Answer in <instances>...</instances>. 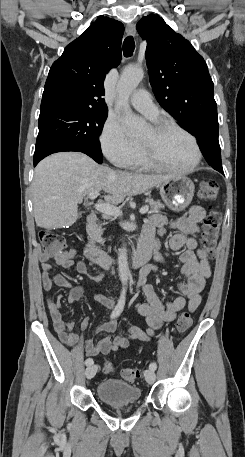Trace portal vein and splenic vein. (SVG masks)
<instances>
[{
  "label": "portal vein and splenic vein",
  "mask_w": 245,
  "mask_h": 457,
  "mask_svg": "<svg viewBox=\"0 0 245 457\" xmlns=\"http://www.w3.org/2000/svg\"><path fill=\"white\" fill-rule=\"evenodd\" d=\"M98 194V190H93V192H89V198L94 200ZM95 208L96 210H99V212H104V214H112V216H119V214H122V210H120L119 206H115V204H109V202H98V204H95ZM148 210L149 206H142V208H140L141 214L148 212Z\"/></svg>",
  "instance_id": "portal-vein-and-splenic-vein-1"
}]
</instances>
